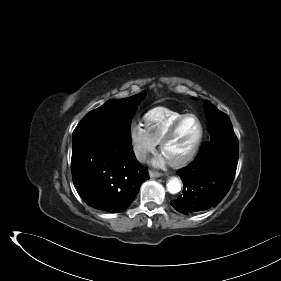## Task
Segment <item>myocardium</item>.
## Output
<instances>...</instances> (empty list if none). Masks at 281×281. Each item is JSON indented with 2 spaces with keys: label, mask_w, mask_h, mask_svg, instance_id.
I'll return each instance as SVG.
<instances>
[{
  "label": "myocardium",
  "mask_w": 281,
  "mask_h": 281,
  "mask_svg": "<svg viewBox=\"0 0 281 281\" xmlns=\"http://www.w3.org/2000/svg\"><path fill=\"white\" fill-rule=\"evenodd\" d=\"M188 117H194L198 121V124H199V135H198V138H197L196 142L194 143V145L191 147V149L189 151H187L185 154H183L182 156H180V157H178L176 159L169 160L170 164L172 166H175V167H179V166H183V165L187 164L188 162H190L195 157V155L199 151L200 146H201L202 141H203V136H204V127H203V123H202L200 117L197 114H194V113H186V114H184L183 116H181L179 119H177L171 125V127L168 129V131L164 134V136L162 137V139L159 142V149L163 153V150H164L165 146L167 145V143L169 141H171V139L177 133V131H178L179 127L181 126V124Z\"/></svg>",
  "instance_id": "f54148a6"
}]
</instances>
